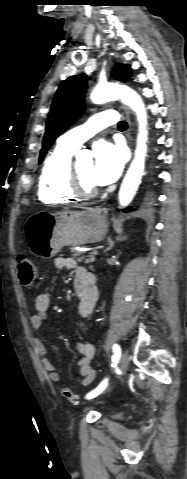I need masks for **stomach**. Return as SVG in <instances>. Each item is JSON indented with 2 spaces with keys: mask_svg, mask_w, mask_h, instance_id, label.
Here are the masks:
<instances>
[{
  "mask_svg": "<svg viewBox=\"0 0 187 479\" xmlns=\"http://www.w3.org/2000/svg\"><path fill=\"white\" fill-rule=\"evenodd\" d=\"M107 232V217L102 210L40 211L26 222L25 235L30 251L41 258L55 256L63 246L101 241Z\"/></svg>",
  "mask_w": 187,
  "mask_h": 479,
  "instance_id": "stomach-1",
  "label": "stomach"
}]
</instances>
